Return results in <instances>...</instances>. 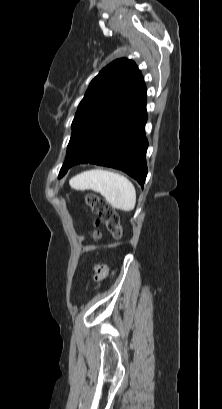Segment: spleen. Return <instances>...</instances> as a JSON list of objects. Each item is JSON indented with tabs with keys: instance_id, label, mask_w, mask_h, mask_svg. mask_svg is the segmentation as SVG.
<instances>
[{
	"instance_id": "3e777b00",
	"label": "spleen",
	"mask_w": 222,
	"mask_h": 409,
	"mask_svg": "<svg viewBox=\"0 0 222 409\" xmlns=\"http://www.w3.org/2000/svg\"><path fill=\"white\" fill-rule=\"evenodd\" d=\"M75 190H93L118 210L132 211L136 204V190L125 176L102 169L82 172L69 181Z\"/></svg>"
}]
</instances>
